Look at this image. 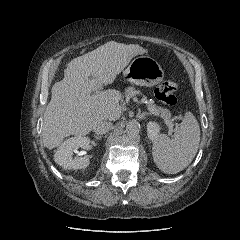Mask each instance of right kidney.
<instances>
[{
	"label": "right kidney",
	"mask_w": 240,
	"mask_h": 240,
	"mask_svg": "<svg viewBox=\"0 0 240 240\" xmlns=\"http://www.w3.org/2000/svg\"><path fill=\"white\" fill-rule=\"evenodd\" d=\"M90 144L88 137L75 136L64 141L54 155L55 162L65 169H83L90 164L89 157H75L73 153L79 148L87 149Z\"/></svg>",
	"instance_id": "obj_1"
}]
</instances>
